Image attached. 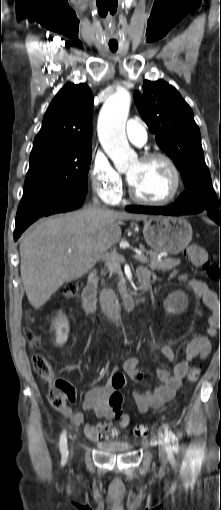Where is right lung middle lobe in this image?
I'll list each match as a JSON object with an SVG mask.
<instances>
[{
  "label": "right lung middle lobe",
  "instance_id": "dd1d6c3e",
  "mask_svg": "<svg viewBox=\"0 0 221 510\" xmlns=\"http://www.w3.org/2000/svg\"><path fill=\"white\" fill-rule=\"evenodd\" d=\"M91 145L30 157L18 211L30 216L88 191Z\"/></svg>",
  "mask_w": 221,
  "mask_h": 510
}]
</instances>
